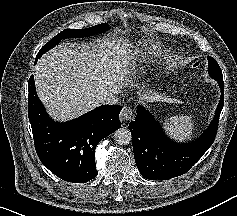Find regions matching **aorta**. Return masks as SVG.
Masks as SVG:
<instances>
[{"instance_id":"762f6f07","label":"aorta","mask_w":237,"mask_h":216,"mask_svg":"<svg viewBox=\"0 0 237 216\" xmlns=\"http://www.w3.org/2000/svg\"><path fill=\"white\" fill-rule=\"evenodd\" d=\"M114 140L120 146H126L133 142L132 133L128 128H120L114 132Z\"/></svg>"}]
</instances>
